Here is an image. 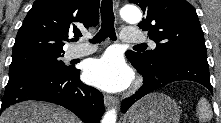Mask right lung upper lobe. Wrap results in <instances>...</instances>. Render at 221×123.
Wrapping results in <instances>:
<instances>
[{
	"instance_id": "cb5924a9",
	"label": "right lung upper lobe",
	"mask_w": 221,
	"mask_h": 123,
	"mask_svg": "<svg viewBox=\"0 0 221 123\" xmlns=\"http://www.w3.org/2000/svg\"><path fill=\"white\" fill-rule=\"evenodd\" d=\"M99 3L100 0H36L18 31L12 54L64 52L63 46L70 37L82 36L80 27L98 24Z\"/></svg>"
}]
</instances>
